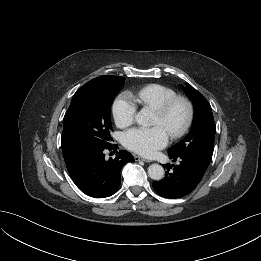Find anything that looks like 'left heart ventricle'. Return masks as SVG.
<instances>
[{"label":"left heart ventricle","mask_w":261,"mask_h":261,"mask_svg":"<svg viewBox=\"0 0 261 261\" xmlns=\"http://www.w3.org/2000/svg\"><path fill=\"white\" fill-rule=\"evenodd\" d=\"M185 119V108L182 104L176 105L169 116L165 119L160 118L156 113L153 117L152 124L161 126L168 134L179 128Z\"/></svg>","instance_id":"1"}]
</instances>
